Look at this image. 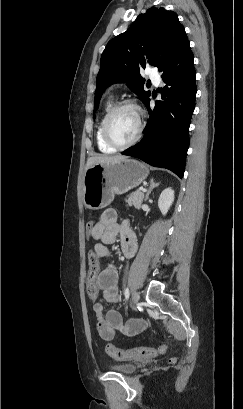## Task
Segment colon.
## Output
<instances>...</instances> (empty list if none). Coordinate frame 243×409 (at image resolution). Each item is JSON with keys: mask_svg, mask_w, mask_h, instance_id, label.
I'll use <instances>...</instances> for the list:
<instances>
[{"mask_svg": "<svg viewBox=\"0 0 243 409\" xmlns=\"http://www.w3.org/2000/svg\"><path fill=\"white\" fill-rule=\"evenodd\" d=\"M95 221L90 219L86 223V232L91 233L95 227ZM95 269H93V272ZM88 295L92 300H96L98 298V290L93 287H88ZM166 350L165 346L160 347H135L131 349H119L110 344L105 346L106 353L116 360L121 361H133L137 359H144L148 357H153L159 353H162ZM176 358H172L171 362H175Z\"/></svg>", "mask_w": 243, "mask_h": 409, "instance_id": "obj_1", "label": "colon"}]
</instances>
